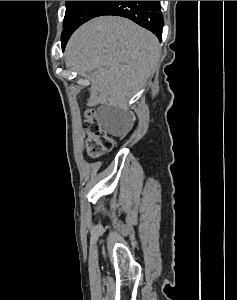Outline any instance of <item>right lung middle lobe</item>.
I'll return each instance as SVG.
<instances>
[{
    "label": "right lung middle lobe",
    "mask_w": 237,
    "mask_h": 300,
    "mask_svg": "<svg viewBox=\"0 0 237 300\" xmlns=\"http://www.w3.org/2000/svg\"><path fill=\"white\" fill-rule=\"evenodd\" d=\"M110 1H66L61 41L63 49L72 33L83 23L96 17Z\"/></svg>",
    "instance_id": "1"
}]
</instances>
